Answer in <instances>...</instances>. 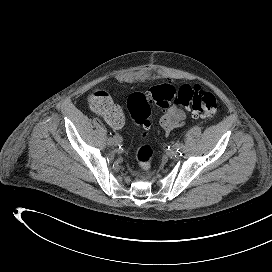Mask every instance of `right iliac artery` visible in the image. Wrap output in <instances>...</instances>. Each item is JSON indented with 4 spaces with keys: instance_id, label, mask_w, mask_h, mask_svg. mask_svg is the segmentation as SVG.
<instances>
[{
    "instance_id": "82829eb1",
    "label": "right iliac artery",
    "mask_w": 272,
    "mask_h": 272,
    "mask_svg": "<svg viewBox=\"0 0 272 272\" xmlns=\"http://www.w3.org/2000/svg\"><path fill=\"white\" fill-rule=\"evenodd\" d=\"M109 138H110V140L112 142L115 143V142H117L120 139V136L118 135V133L112 132V133H110Z\"/></svg>"
}]
</instances>
